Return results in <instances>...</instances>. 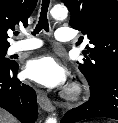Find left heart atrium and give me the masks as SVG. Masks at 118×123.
<instances>
[{"mask_svg":"<svg viewBox=\"0 0 118 123\" xmlns=\"http://www.w3.org/2000/svg\"><path fill=\"white\" fill-rule=\"evenodd\" d=\"M26 74L46 87H60L66 81V70L53 56H42L29 61Z\"/></svg>","mask_w":118,"mask_h":123,"instance_id":"obj_1","label":"left heart atrium"}]
</instances>
